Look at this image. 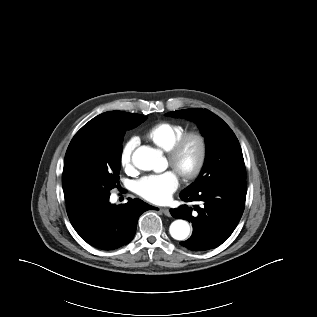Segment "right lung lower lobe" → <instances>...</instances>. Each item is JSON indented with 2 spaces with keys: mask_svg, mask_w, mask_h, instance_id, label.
<instances>
[{
  "mask_svg": "<svg viewBox=\"0 0 317 317\" xmlns=\"http://www.w3.org/2000/svg\"><path fill=\"white\" fill-rule=\"evenodd\" d=\"M69 220L88 244L103 250H114L128 244L135 235L140 215L155 207L140 199L115 205L109 197L86 206L66 202Z\"/></svg>",
  "mask_w": 317,
  "mask_h": 317,
  "instance_id": "98d812e1",
  "label": "right lung lower lobe"
}]
</instances>
